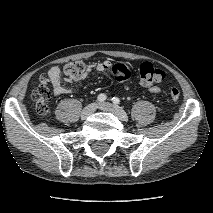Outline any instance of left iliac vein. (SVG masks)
Wrapping results in <instances>:
<instances>
[{
	"label": "left iliac vein",
	"instance_id": "obj_1",
	"mask_svg": "<svg viewBox=\"0 0 213 213\" xmlns=\"http://www.w3.org/2000/svg\"><path fill=\"white\" fill-rule=\"evenodd\" d=\"M99 108L103 111L111 112L115 114L119 119L123 121H126L128 119L126 112L117 105L105 102V103L99 104Z\"/></svg>",
	"mask_w": 213,
	"mask_h": 213
}]
</instances>
